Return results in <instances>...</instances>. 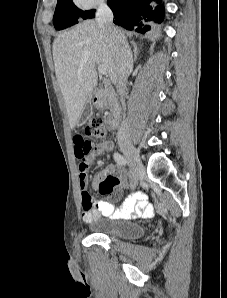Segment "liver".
Returning <instances> with one entry per match:
<instances>
[{
	"label": "liver",
	"instance_id": "liver-1",
	"mask_svg": "<svg viewBox=\"0 0 227 298\" xmlns=\"http://www.w3.org/2000/svg\"><path fill=\"white\" fill-rule=\"evenodd\" d=\"M52 52L56 78L73 129L97 85L96 65L106 66L110 80L117 83L113 41L96 21L86 20L57 35Z\"/></svg>",
	"mask_w": 227,
	"mask_h": 298
}]
</instances>
